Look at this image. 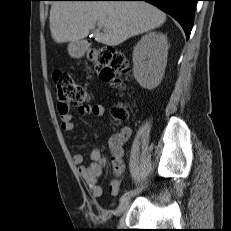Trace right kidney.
<instances>
[{"label": "right kidney", "mask_w": 231, "mask_h": 231, "mask_svg": "<svg viewBox=\"0 0 231 231\" xmlns=\"http://www.w3.org/2000/svg\"><path fill=\"white\" fill-rule=\"evenodd\" d=\"M168 55L167 37L162 33L144 35L133 50V72L136 81L145 89H153L161 82Z\"/></svg>", "instance_id": "1"}]
</instances>
